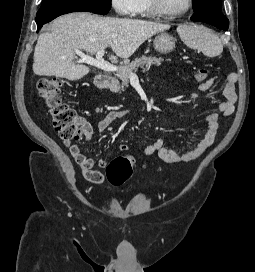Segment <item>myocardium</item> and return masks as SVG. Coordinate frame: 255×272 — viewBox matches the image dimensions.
Returning <instances> with one entry per match:
<instances>
[{"instance_id":"obj_1","label":"myocardium","mask_w":255,"mask_h":272,"mask_svg":"<svg viewBox=\"0 0 255 272\" xmlns=\"http://www.w3.org/2000/svg\"><path fill=\"white\" fill-rule=\"evenodd\" d=\"M150 5L153 12L160 17L173 19L187 14L193 7V0H188L187 7L179 12H168L163 8L162 0H150Z\"/></svg>"}]
</instances>
